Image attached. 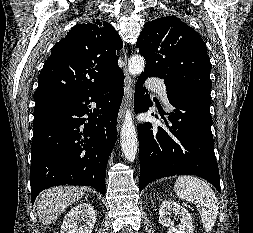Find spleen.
Listing matches in <instances>:
<instances>
[{"instance_id": "1", "label": "spleen", "mask_w": 253, "mask_h": 233, "mask_svg": "<svg viewBox=\"0 0 253 233\" xmlns=\"http://www.w3.org/2000/svg\"><path fill=\"white\" fill-rule=\"evenodd\" d=\"M174 191L183 200L197 206L206 232H211L218 215L219 204L212 188L205 181L194 176H180Z\"/></svg>"}]
</instances>
